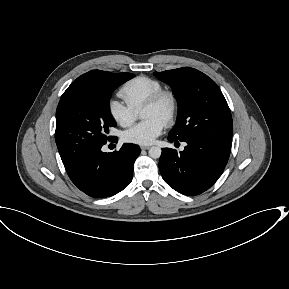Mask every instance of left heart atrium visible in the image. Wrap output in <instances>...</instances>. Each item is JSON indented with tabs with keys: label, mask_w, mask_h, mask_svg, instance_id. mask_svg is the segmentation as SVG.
I'll return each mask as SVG.
<instances>
[{
	"label": "left heart atrium",
	"mask_w": 289,
	"mask_h": 289,
	"mask_svg": "<svg viewBox=\"0 0 289 289\" xmlns=\"http://www.w3.org/2000/svg\"><path fill=\"white\" fill-rule=\"evenodd\" d=\"M165 122L157 117L145 119L123 133L124 141L137 145H149L162 133Z\"/></svg>",
	"instance_id": "left-heart-atrium-1"
}]
</instances>
